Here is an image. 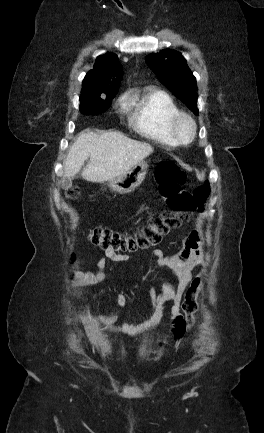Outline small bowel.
Here are the masks:
<instances>
[{
	"label": "small bowel",
	"mask_w": 264,
	"mask_h": 433,
	"mask_svg": "<svg viewBox=\"0 0 264 433\" xmlns=\"http://www.w3.org/2000/svg\"><path fill=\"white\" fill-rule=\"evenodd\" d=\"M153 256L157 259V263L161 268L169 270L176 276L178 285L174 288L171 283L164 282L161 286V293L158 295L155 293L154 288L150 287L149 295L152 301V310L143 322L124 321L116 324L120 310L128 301L127 295L124 292L117 294L116 307L109 315L81 318V320L83 322H92L105 329L133 337L150 332L156 328L163 317L166 305L170 303L172 322L170 342H178L183 337L187 328L184 316L179 311V306L183 294L192 280L194 270L204 262V252L199 235L197 232H192L185 237L181 242L179 251L174 255L166 256L160 250H155ZM130 260L131 258L126 255L105 252L97 262L96 272L80 271L76 274L74 282L81 285H98L105 279L107 261L120 264Z\"/></svg>",
	"instance_id": "c3829d8e"
}]
</instances>
